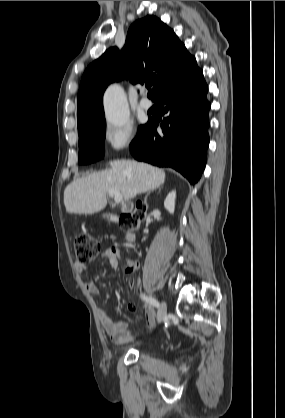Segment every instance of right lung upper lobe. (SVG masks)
<instances>
[{"label":"right lung upper lobe","instance_id":"obj_1","mask_svg":"<svg viewBox=\"0 0 285 418\" xmlns=\"http://www.w3.org/2000/svg\"><path fill=\"white\" fill-rule=\"evenodd\" d=\"M174 31L155 16L135 21L124 48L108 49L85 70L78 92V125L104 115L103 93L122 78L133 83L152 82L149 97L157 101L170 87L198 70Z\"/></svg>","mask_w":285,"mask_h":418}]
</instances>
